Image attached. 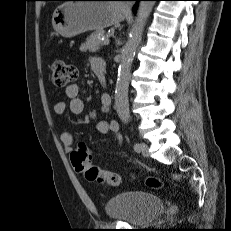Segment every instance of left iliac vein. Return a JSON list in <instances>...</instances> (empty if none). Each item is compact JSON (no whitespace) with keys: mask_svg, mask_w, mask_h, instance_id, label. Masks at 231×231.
I'll use <instances>...</instances> for the list:
<instances>
[{"mask_svg":"<svg viewBox=\"0 0 231 231\" xmlns=\"http://www.w3.org/2000/svg\"><path fill=\"white\" fill-rule=\"evenodd\" d=\"M139 152L144 156V157H149V147L146 143H141L140 144V150Z\"/></svg>","mask_w":231,"mask_h":231,"instance_id":"1","label":"left iliac vein"}]
</instances>
